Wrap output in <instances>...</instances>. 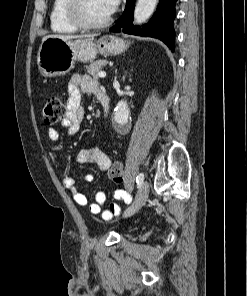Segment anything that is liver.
<instances>
[{
    "mask_svg": "<svg viewBox=\"0 0 247 296\" xmlns=\"http://www.w3.org/2000/svg\"><path fill=\"white\" fill-rule=\"evenodd\" d=\"M50 37H56V38H60V39H63V40H72V39L78 38L80 36H77V35H47L42 39V41H44V40H46L47 38H50ZM82 37L90 38V37H93V36L92 35H85V36H82Z\"/></svg>",
    "mask_w": 247,
    "mask_h": 296,
    "instance_id": "obj_1",
    "label": "liver"
}]
</instances>
